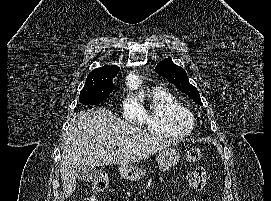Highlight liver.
Here are the masks:
<instances>
[{
	"instance_id": "liver-1",
	"label": "liver",
	"mask_w": 271,
	"mask_h": 201,
	"mask_svg": "<svg viewBox=\"0 0 271 201\" xmlns=\"http://www.w3.org/2000/svg\"><path fill=\"white\" fill-rule=\"evenodd\" d=\"M171 140L149 135L99 108L81 112L70 121L64 139L60 174L65 197L76 188L78 165H129L172 145ZM118 150L114 152V146Z\"/></svg>"
}]
</instances>
